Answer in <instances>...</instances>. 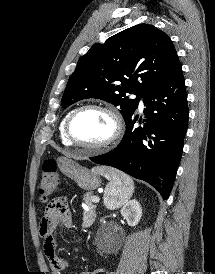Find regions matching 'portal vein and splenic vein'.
<instances>
[{
	"label": "portal vein and splenic vein",
	"mask_w": 215,
	"mask_h": 274,
	"mask_svg": "<svg viewBox=\"0 0 215 274\" xmlns=\"http://www.w3.org/2000/svg\"><path fill=\"white\" fill-rule=\"evenodd\" d=\"M99 200H100V199H99V197H98V196H94V197H93V201H94L95 203H98V202H99Z\"/></svg>",
	"instance_id": "1"
}]
</instances>
